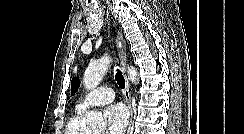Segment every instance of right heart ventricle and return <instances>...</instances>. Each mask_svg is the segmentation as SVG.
<instances>
[{
  "instance_id": "right-heart-ventricle-1",
  "label": "right heart ventricle",
  "mask_w": 244,
  "mask_h": 134,
  "mask_svg": "<svg viewBox=\"0 0 244 134\" xmlns=\"http://www.w3.org/2000/svg\"><path fill=\"white\" fill-rule=\"evenodd\" d=\"M65 134H92L86 127L83 111L76 110L66 125Z\"/></svg>"
}]
</instances>
